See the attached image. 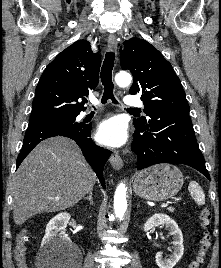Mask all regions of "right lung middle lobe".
Here are the masks:
<instances>
[{
	"label": "right lung middle lobe",
	"instance_id": "obj_1",
	"mask_svg": "<svg viewBox=\"0 0 221 268\" xmlns=\"http://www.w3.org/2000/svg\"><path fill=\"white\" fill-rule=\"evenodd\" d=\"M77 115H65V116H59V117H54L51 119H48V121H60V122H68V123H75ZM30 123L32 121H29Z\"/></svg>",
	"mask_w": 221,
	"mask_h": 268
}]
</instances>
